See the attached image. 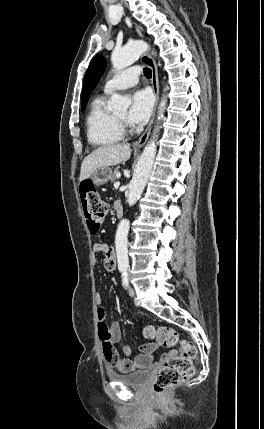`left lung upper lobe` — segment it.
Listing matches in <instances>:
<instances>
[{
    "instance_id": "5c2ea615",
    "label": "left lung upper lobe",
    "mask_w": 264,
    "mask_h": 429,
    "mask_svg": "<svg viewBox=\"0 0 264 429\" xmlns=\"http://www.w3.org/2000/svg\"><path fill=\"white\" fill-rule=\"evenodd\" d=\"M105 67H106V61L102 55H97L91 61L85 75L83 89H82V103H81L82 112L85 110V106L88 102L90 94L92 93L93 89L95 88L98 81L100 80Z\"/></svg>"
}]
</instances>
